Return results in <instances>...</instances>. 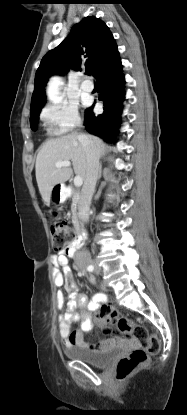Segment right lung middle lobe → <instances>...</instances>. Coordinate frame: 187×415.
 Masks as SVG:
<instances>
[{
	"label": "right lung middle lobe",
	"instance_id": "1",
	"mask_svg": "<svg viewBox=\"0 0 187 415\" xmlns=\"http://www.w3.org/2000/svg\"><path fill=\"white\" fill-rule=\"evenodd\" d=\"M41 108L42 107L36 109L33 112H30V126H31V129L34 131L37 130L38 118H39Z\"/></svg>",
	"mask_w": 187,
	"mask_h": 415
}]
</instances>
